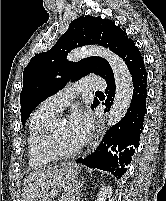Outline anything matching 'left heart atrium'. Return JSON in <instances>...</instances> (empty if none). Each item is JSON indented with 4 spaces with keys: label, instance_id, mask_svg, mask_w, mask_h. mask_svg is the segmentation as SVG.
<instances>
[{
    "label": "left heart atrium",
    "instance_id": "39dd6f15",
    "mask_svg": "<svg viewBox=\"0 0 166 201\" xmlns=\"http://www.w3.org/2000/svg\"><path fill=\"white\" fill-rule=\"evenodd\" d=\"M69 125L77 136L80 145L89 138L92 130V117L86 110H74L69 118Z\"/></svg>",
    "mask_w": 166,
    "mask_h": 201
}]
</instances>
